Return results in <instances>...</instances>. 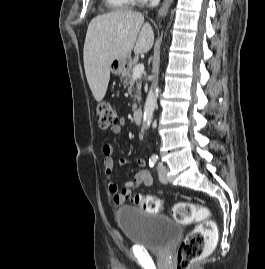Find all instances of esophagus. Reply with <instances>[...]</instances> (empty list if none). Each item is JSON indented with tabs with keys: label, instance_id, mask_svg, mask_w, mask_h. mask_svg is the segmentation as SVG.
<instances>
[{
	"label": "esophagus",
	"instance_id": "esophagus-1",
	"mask_svg": "<svg viewBox=\"0 0 265 269\" xmlns=\"http://www.w3.org/2000/svg\"><path fill=\"white\" fill-rule=\"evenodd\" d=\"M173 0H164L163 4L161 5L160 9L158 10V17H163L167 14L168 9L171 5Z\"/></svg>",
	"mask_w": 265,
	"mask_h": 269
}]
</instances>
